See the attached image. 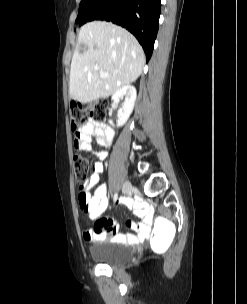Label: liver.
<instances>
[{"label":"liver","mask_w":247,"mask_h":304,"mask_svg":"<svg viewBox=\"0 0 247 304\" xmlns=\"http://www.w3.org/2000/svg\"><path fill=\"white\" fill-rule=\"evenodd\" d=\"M144 64V51L130 32L105 21L89 22L79 31L72 57L70 97L81 103L108 97L134 82Z\"/></svg>","instance_id":"obj_1"}]
</instances>
